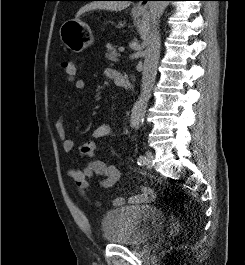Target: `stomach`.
Segmentation results:
<instances>
[{"mask_svg":"<svg viewBox=\"0 0 245 265\" xmlns=\"http://www.w3.org/2000/svg\"><path fill=\"white\" fill-rule=\"evenodd\" d=\"M143 12H134L139 16ZM60 39L72 52L80 53L93 44L94 37L89 26L79 18L65 21L59 30Z\"/></svg>","mask_w":245,"mask_h":265,"instance_id":"0dacf381","label":"stomach"}]
</instances>
